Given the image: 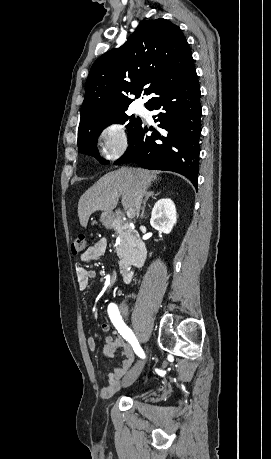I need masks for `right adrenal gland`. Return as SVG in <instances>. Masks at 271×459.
I'll use <instances>...</instances> for the list:
<instances>
[{"mask_svg": "<svg viewBox=\"0 0 271 459\" xmlns=\"http://www.w3.org/2000/svg\"><path fill=\"white\" fill-rule=\"evenodd\" d=\"M144 196H145V198H144V202H143L142 212H141L140 218H144L145 208H146V204H147L149 198H151V196H157V194H154V192H147V194H144Z\"/></svg>", "mask_w": 271, "mask_h": 459, "instance_id": "right-adrenal-gland-1", "label": "right adrenal gland"}]
</instances>
